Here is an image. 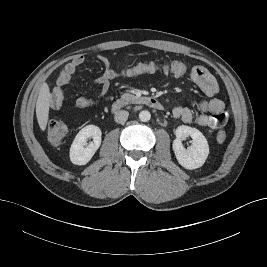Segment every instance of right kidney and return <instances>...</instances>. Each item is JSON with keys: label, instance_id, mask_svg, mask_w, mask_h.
Returning a JSON list of instances; mask_svg holds the SVG:
<instances>
[{"label": "right kidney", "instance_id": "obj_1", "mask_svg": "<svg viewBox=\"0 0 267 267\" xmlns=\"http://www.w3.org/2000/svg\"><path fill=\"white\" fill-rule=\"evenodd\" d=\"M102 132L95 125H87L76 135L70 147V160L75 165L87 164L101 145ZM88 138L93 141L88 144Z\"/></svg>", "mask_w": 267, "mask_h": 267}]
</instances>
